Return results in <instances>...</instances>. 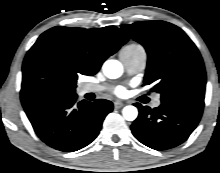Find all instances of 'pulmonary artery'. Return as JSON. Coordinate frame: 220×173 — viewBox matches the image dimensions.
<instances>
[{
    "mask_svg": "<svg viewBox=\"0 0 220 173\" xmlns=\"http://www.w3.org/2000/svg\"><path fill=\"white\" fill-rule=\"evenodd\" d=\"M120 60L122 61L126 72L129 75H134L142 72L146 66V54L142 49L131 50L124 49L120 53ZM104 90V86L97 84H86V92L98 93ZM160 105L159 97L155 98L152 102V106L157 107Z\"/></svg>",
    "mask_w": 220,
    "mask_h": 173,
    "instance_id": "1",
    "label": "pulmonary artery"
}]
</instances>
